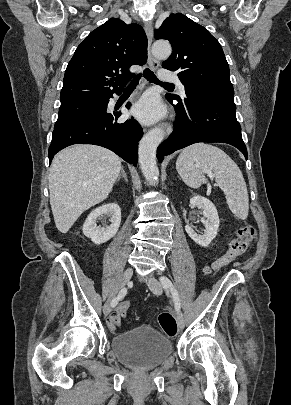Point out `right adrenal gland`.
I'll use <instances>...</instances> for the list:
<instances>
[{
    "instance_id": "2a0ac1e0",
    "label": "right adrenal gland",
    "mask_w": 291,
    "mask_h": 405,
    "mask_svg": "<svg viewBox=\"0 0 291 405\" xmlns=\"http://www.w3.org/2000/svg\"><path fill=\"white\" fill-rule=\"evenodd\" d=\"M121 177H123V178L125 179V181L128 182V178H127V176H126V173H125L123 167H121V173H120V175L118 176L117 181H119V180L121 179Z\"/></svg>"
}]
</instances>
